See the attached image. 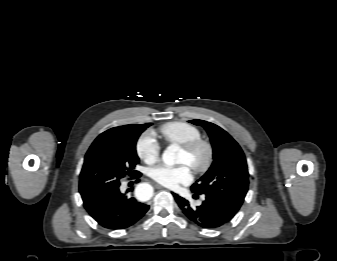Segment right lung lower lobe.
<instances>
[{
  "instance_id": "98d812e1",
  "label": "right lung lower lobe",
  "mask_w": 337,
  "mask_h": 261,
  "mask_svg": "<svg viewBox=\"0 0 337 261\" xmlns=\"http://www.w3.org/2000/svg\"><path fill=\"white\" fill-rule=\"evenodd\" d=\"M140 175L141 173L133 178H138ZM119 186L120 184L84 201V207L98 224L111 230L125 229L132 226L149 209L148 205L122 194Z\"/></svg>"
}]
</instances>
